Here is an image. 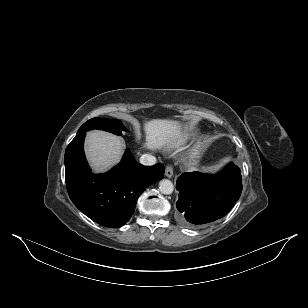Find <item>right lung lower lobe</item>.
Returning <instances> with one entry per match:
<instances>
[{
    "instance_id": "obj_1",
    "label": "right lung lower lobe",
    "mask_w": 308,
    "mask_h": 308,
    "mask_svg": "<svg viewBox=\"0 0 308 308\" xmlns=\"http://www.w3.org/2000/svg\"><path fill=\"white\" fill-rule=\"evenodd\" d=\"M86 131L77 133L65 151L68 194L75 206L93 221L110 228L121 227L132 216L141 193L161 180L164 166H143L126 151L121 162L104 174H93L83 143Z\"/></svg>"
}]
</instances>
